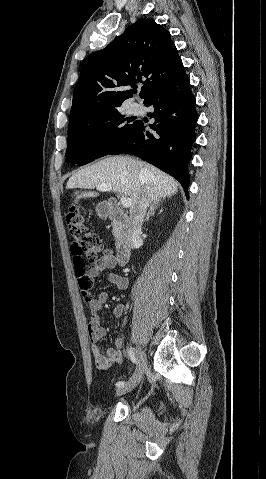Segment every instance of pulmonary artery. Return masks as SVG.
<instances>
[{
  "mask_svg": "<svg viewBox=\"0 0 266 479\" xmlns=\"http://www.w3.org/2000/svg\"><path fill=\"white\" fill-rule=\"evenodd\" d=\"M141 109V106L137 103H133L131 105V110L134 112V113H138Z\"/></svg>",
  "mask_w": 266,
  "mask_h": 479,
  "instance_id": "obj_1",
  "label": "pulmonary artery"
}]
</instances>
